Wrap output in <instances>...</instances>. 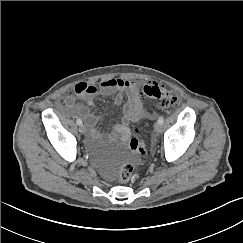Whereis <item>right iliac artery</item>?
<instances>
[{"mask_svg": "<svg viewBox=\"0 0 243 243\" xmlns=\"http://www.w3.org/2000/svg\"><path fill=\"white\" fill-rule=\"evenodd\" d=\"M76 122H77L78 125H81L82 124V120L81 119H77Z\"/></svg>", "mask_w": 243, "mask_h": 243, "instance_id": "82829eb1", "label": "right iliac artery"}]
</instances>
